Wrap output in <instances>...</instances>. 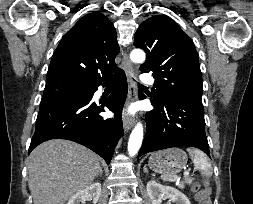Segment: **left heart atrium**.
<instances>
[{
    "instance_id": "1",
    "label": "left heart atrium",
    "mask_w": 253,
    "mask_h": 204,
    "mask_svg": "<svg viewBox=\"0 0 253 204\" xmlns=\"http://www.w3.org/2000/svg\"><path fill=\"white\" fill-rule=\"evenodd\" d=\"M126 115H129L130 113L129 112H127V113H125Z\"/></svg>"
}]
</instances>
